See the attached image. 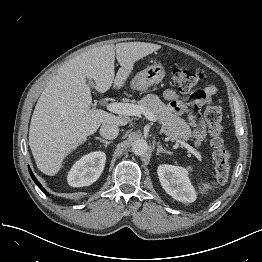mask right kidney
I'll return each mask as SVG.
<instances>
[{"label":"right kidney","instance_id":"right-kidney-1","mask_svg":"<svg viewBox=\"0 0 262 262\" xmlns=\"http://www.w3.org/2000/svg\"><path fill=\"white\" fill-rule=\"evenodd\" d=\"M106 162L104 152L95 151L84 155L71 168L67 181L72 187L89 186L101 175Z\"/></svg>","mask_w":262,"mask_h":262}]
</instances>
